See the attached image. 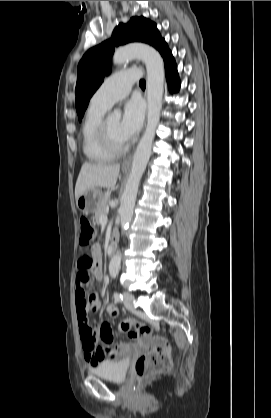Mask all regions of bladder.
Wrapping results in <instances>:
<instances>
[{"mask_svg": "<svg viewBox=\"0 0 271 418\" xmlns=\"http://www.w3.org/2000/svg\"><path fill=\"white\" fill-rule=\"evenodd\" d=\"M129 367V358L124 356L116 360H107L90 369V373L114 383L122 382Z\"/></svg>", "mask_w": 271, "mask_h": 418, "instance_id": "31cf9c89", "label": "bladder"}]
</instances>
